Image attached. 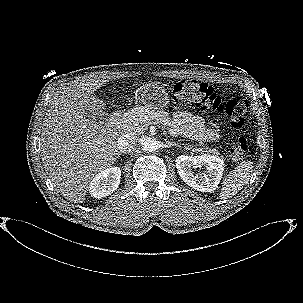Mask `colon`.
Instances as JSON below:
<instances>
[{
  "instance_id": "colon-1",
  "label": "colon",
  "mask_w": 303,
  "mask_h": 303,
  "mask_svg": "<svg viewBox=\"0 0 303 303\" xmlns=\"http://www.w3.org/2000/svg\"><path fill=\"white\" fill-rule=\"evenodd\" d=\"M172 94L177 103L222 116L233 128L242 127L248 113V103L245 100L238 97L224 100L212 87L198 81H176L172 84ZM247 152V140L243 134H240L231 145V157L235 161H240Z\"/></svg>"
}]
</instances>
